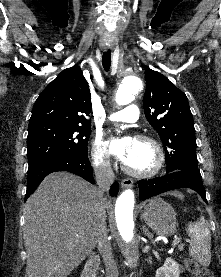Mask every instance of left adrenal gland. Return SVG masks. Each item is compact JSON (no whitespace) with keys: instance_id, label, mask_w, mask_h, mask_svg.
Listing matches in <instances>:
<instances>
[{"instance_id":"a2214340","label":"left adrenal gland","mask_w":221,"mask_h":277,"mask_svg":"<svg viewBox=\"0 0 221 277\" xmlns=\"http://www.w3.org/2000/svg\"><path fill=\"white\" fill-rule=\"evenodd\" d=\"M143 233L148 236V238L151 240V242H155L153 239V235L149 232V230L146 228L145 225H143Z\"/></svg>"}]
</instances>
